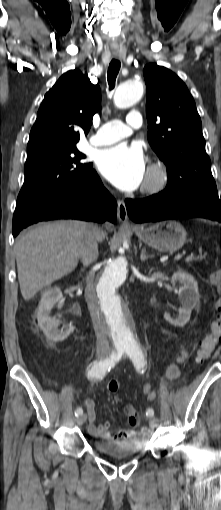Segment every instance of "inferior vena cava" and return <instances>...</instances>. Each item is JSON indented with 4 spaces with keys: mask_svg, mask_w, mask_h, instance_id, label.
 <instances>
[{
    "mask_svg": "<svg viewBox=\"0 0 221 510\" xmlns=\"http://www.w3.org/2000/svg\"><path fill=\"white\" fill-rule=\"evenodd\" d=\"M100 232L101 231L97 226L90 224L85 238L78 249L77 256L82 259L83 265L86 267L91 265L98 257L97 241ZM86 282L87 286L85 289V296L95 330L96 349L97 352H109L110 347L106 336V327L99 312L95 291L94 273L92 271L88 273Z\"/></svg>",
    "mask_w": 221,
    "mask_h": 510,
    "instance_id": "1",
    "label": "inferior vena cava"
}]
</instances>
